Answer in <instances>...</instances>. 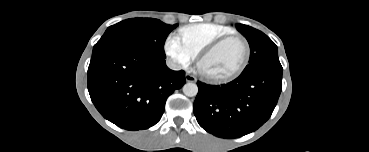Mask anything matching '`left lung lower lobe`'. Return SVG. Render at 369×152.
Masks as SVG:
<instances>
[{
    "mask_svg": "<svg viewBox=\"0 0 369 152\" xmlns=\"http://www.w3.org/2000/svg\"><path fill=\"white\" fill-rule=\"evenodd\" d=\"M194 115L199 125L220 138L257 130L271 116L282 90V69L264 68L222 85L197 82Z\"/></svg>",
    "mask_w": 369,
    "mask_h": 152,
    "instance_id": "obj_1",
    "label": "left lung lower lobe"
}]
</instances>
